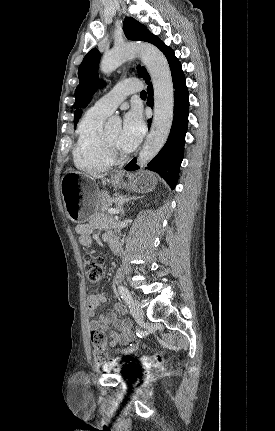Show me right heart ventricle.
Instances as JSON below:
<instances>
[{
  "label": "right heart ventricle",
  "instance_id": "1",
  "mask_svg": "<svg viewBox=\"0 0 275 431\" xmlns=\"http://www.w3.org/2000/svg\"><path fill=\"white\" fill-rule=\"evenodd\" d=\"M107 114L90 108L77 127V141L73 150L75 166L87 172H102L113 162L107 157L103 143V124Z\"/></svg>",
  "mask_w": 275,
  "mask_h": 431
}]
</instances>
